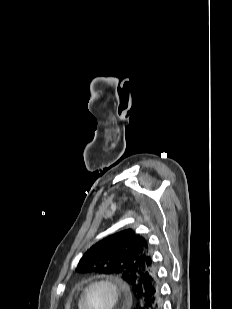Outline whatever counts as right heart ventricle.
Instances as JSON below:
<instances>
[{"mask_svg":"<svg viewBox=\"0 0 232 309\" xmlns=\"http://www.w3.org/2000/svg\"><path fill=\"white\" fill-rule=\"evenodd\" d=\"M78 309H80V305L78 304Z\"/></svg>","mask_w":232,"mask_h":309,"instance_id":"right-heart-ventricle-1","label":"right heart ventricle"}]
</instances>
